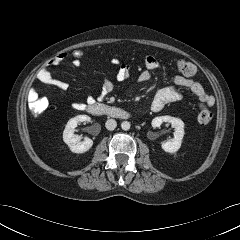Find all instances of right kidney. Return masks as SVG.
<instances>
[{"mask_svg": "<svg viewBox=\"0 0 240 240\" xmlns=\"http://www.w3.org/2000/svg\"><path fill=\"white\" fill-rule=\"evenodd\" d=\"M90 120L91 118L87 115H78L67 122L63 131V140L73 153H84L92 147L93 141L90 138L86 137L84 141H80L81 136L74 134L78 123Z\"/></svg>", "mask_w": 240, "mask_h": 240, "instance_id": "ca27d5eb", "label": "right kidney"}]
</instances>
